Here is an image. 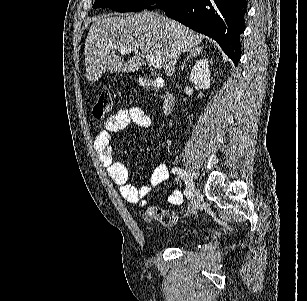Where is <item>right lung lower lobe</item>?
<instances>
[{
  "instance_id": "right-lung-lower-lobe-1",
  "label": "right lung lower lobe",
  "mask_w": 307,
  "mask_h": 301,
  "mask_svg": "<svg viewBox=\"0 0 307 301\" xmlns=\"http://www.w3.org/2000/svg\"><path fill=\"white\" fill-rule=\"evenodd\" d=\"M152 5L146 9L164 10L168 17L213 38L235 63L240 60L246 0H157Z\"/></svg>"
}]
</instances>
